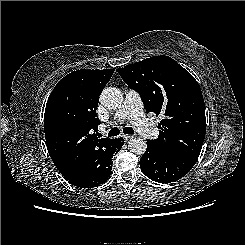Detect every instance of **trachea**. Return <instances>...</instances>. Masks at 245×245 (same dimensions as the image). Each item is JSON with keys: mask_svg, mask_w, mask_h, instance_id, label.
I'll return each instance as SVG.
<instances>
[{"mask_svg": "<svg viewBox=\"0 0 245 245\" xmlns=\"http://www.w3.org/2000/svg\"><path fill=\"white\" fill-rule=\"evenodd\" d=\"M119 133H120V130L117 127H114L108 132V136L114 137V136L119 135ZM123 133L131 135V134H134V130L131 127H125L123 129ZM100 136L102 135L100 134Z\"/></svg>", "mask_w": 245, "mask_h": 245, "instance_id": "1", "label": "trachea"}]
</instances>
